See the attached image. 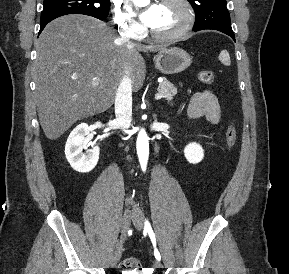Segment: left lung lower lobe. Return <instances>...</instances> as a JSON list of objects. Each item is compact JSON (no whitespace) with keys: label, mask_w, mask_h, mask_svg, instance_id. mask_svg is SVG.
Masks as SVG:
<instances>
[{"label":"left lung lower lobe","mask_w":289,"mask_h":274,"mask_svg":"<svg viewBox=\"0 0 289 274\" xmlns=\"http://www.w3.org/2000/svg\"><path fill=\"white\" fill-rule=\"evenodd\" d=\"M214 30H218V31H221L227 35H229L234 41H235V36H234V33L232 31V29H214ZM195 31V30H194ZM198 31V30H197Z\"/></svg>","instance_id":"left-lung-lower-lobe-1"}]
</instances>
